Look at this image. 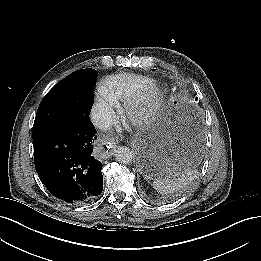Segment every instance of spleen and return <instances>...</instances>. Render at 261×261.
Segmentation results:
<instances>
[{
	"instance_id": "3e777b00",
	"label": "spleen",
	"mask_w": 261,
	"mask_h": 261,
	"mask_svg": "<svg viewBox=\"0 0 261 261\" xmlns=\"http://www.w3.org/2000/svg\"><path fill=\"white\" fill-rule=\"evenodd\" d=\"M197 173V170L187 168L182 171V174H178L176 178L171 176L158 177L153 181V188L161 194L177 192L189 185L195 179Z\"/></svg>"
}]
</instances>
